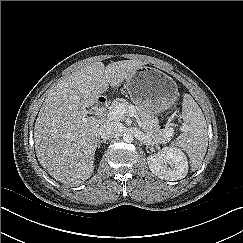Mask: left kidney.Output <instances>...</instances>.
Wrapping results in <instances>:
<instances>
[{"label":"left kidney","mask_w":243,"mask_h":243,"mask_svg":"<svg viewBox=\"0 0 243 243\" xmlns=\"http://www.w3.org/2000/svg\"><path fill=\"white\" fill-rule=\"evenodd\" d=\"M147 163L153 174L168 181L183 179L188 173L187 157L175 147H164L148 156Z\"/></svg>","instance_id":"left-kidney-1"}]
</instances>
